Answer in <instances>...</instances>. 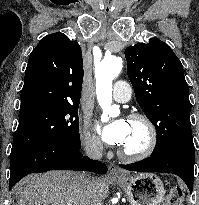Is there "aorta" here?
Listing matches in <instances>:
<instances>
[{"mask_svg": "<svg viewBox=\"0 0 199 205\" xmlns=\"http://www.w3.org/2000/svg\"><path fill=\"white\" fill-rule=\"evenodd\" d=\"M123 67L122 58L119 56L105 57L95 67L96 95L100 106L104 109L102 120L106 121L108 115L118 114L119 109L112 104V81L121 72Z\"/></svg>", "mask_w": 199, "mask_h": 205, "instance_id": "obj_1", "label": "aorta"}]
</instances>
